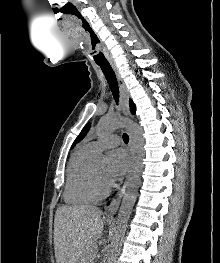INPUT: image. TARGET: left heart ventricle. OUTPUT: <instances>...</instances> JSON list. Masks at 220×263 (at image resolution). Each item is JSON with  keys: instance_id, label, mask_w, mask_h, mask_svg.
<instances>
[{"instance_id": "left-heart-ventricle-1", "label": "left heart ventricle", "mask_w": 220, "mask_h": 263, "mask_svg": "<svg viewBox=\"0 0 220 263\" xmlns=\"http://www.w3.org/2000/svg\"><path fill=\"white\" fill-rule=\"evenodd\" d=\"M94 170H95V173L97 175L99 182L103 186L109 185V183L107 182L106 177H105V172H106L105 166H95Z\"/></svg>"}]
</instances>
